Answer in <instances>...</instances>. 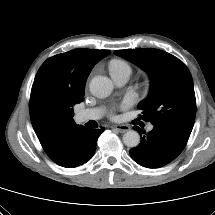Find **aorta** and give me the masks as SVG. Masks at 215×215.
<instances>
[{"label":"aorta","instance_id":"obj_1","mask_svg":"<svg viewBox=\"0 0 215 215\" xmlns=\"http://www.w3.org/2000/svg\"><path fill=\"white\" fill-rule=\"evenodd\" d=\"M89 88L93 96L97 98H106L113 91V83L108 77L95 76L92 78ZM123 142L127 147H136L140 143V135L135 130H129L123 135Z\"/></svg>","mask_w":215,"mask_h":215}]
</instances>
